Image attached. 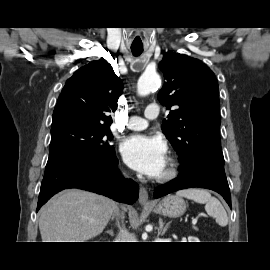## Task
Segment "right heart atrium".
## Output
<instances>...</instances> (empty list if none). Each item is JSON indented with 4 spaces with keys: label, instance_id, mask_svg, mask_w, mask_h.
<instances>
[{
    "label": "right heart atrium",
    "instance_id": "right-heart-atrium-1",
    "mask_svg": "<svg viewBox=\"0 0 270 270\" xmlns=\"http://www.w3.org/2000/svg\"><path fill=\"white\" fill-rule=\"evenodd\" d=\"M122 172H123V173H126V170H125V169H122Z\"/></svg>",
    "mask_w": 270,
    "mask_h": 270
}]
</instances>
